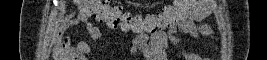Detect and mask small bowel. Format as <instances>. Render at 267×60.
<instances>
[{
  "label": "small bowel",
  "mask_w": 267,
  "mask_h": 60,
  "mask_svg": "<svg viewBox=\"0 0 267 60\" xmlns=\"http://www.w3.org/2000/svg\"><path fill=\"white\" fill-rule=\"evenodd\" d=\"M212 11V1L210 0H190L188 11L181 22L168 32L148 35L138 33L131 41L129 52L132 55H141L145 60H166V50L169 44L175 46L186 60H202L193 52L188 51L183 45L180 34H187L196 40L211 35L212 29L208 24L202 22ZM77 24H85L87 33L92 40L102 38V32L98 26L92 23L90 17L82 14L71 13L64 22V28L59 35L63 36L67 28ZM61 50L74 56L87 55L91 52L90 45L83 40L71 44L69 36H64L59 43Z\"/></svg>",
  "instance_id": "obj_1"
}]
</instances>
